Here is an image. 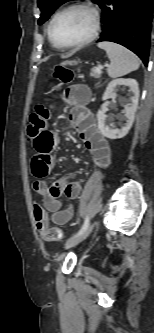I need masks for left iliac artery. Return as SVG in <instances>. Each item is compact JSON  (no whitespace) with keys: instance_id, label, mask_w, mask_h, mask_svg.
<instances>
[{"instance_id":"obj_1","label":"left iliac artery","mask_w":154,"mask_h":333,"mask_svg":"<svg viewBox=\"0 0 154 333\" xmlns=\"http://www.w3.org/2000/svg\"><path fill=\"white\" fill-rule=\"evenodd\" d=\"M88 226H89V217L87 216L85 218L83 226L81 227V229L79 230V232L76 235H74V237L77 236V235H79V234H81V233H83L88 228Z\"/></svg>"}]
</instances>
